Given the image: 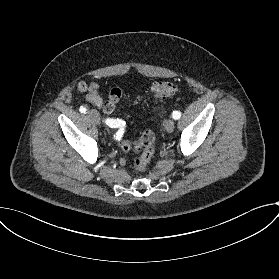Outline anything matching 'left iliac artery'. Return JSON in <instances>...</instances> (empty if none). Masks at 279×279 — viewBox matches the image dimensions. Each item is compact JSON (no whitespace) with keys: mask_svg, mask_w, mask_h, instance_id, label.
Segmentation results:
<instances>
[{"mask_svg":"<svg viewBox=\"0 0 279 279\" xmlns=\"http://www.w3.org/2000/svg\"><path fill=\"white\" fill-rule=\"evenodd\" d=\"M172 117L173 119L177 120L181 117V113L179 111H173Z\"/></svg>","mask_w":279,"mask_h":279,"instance_id":"44dca946","label":"left iliac artery"}]
</instances>
